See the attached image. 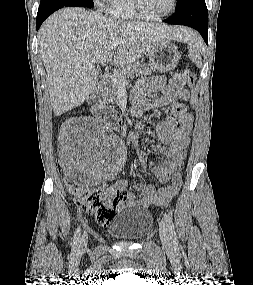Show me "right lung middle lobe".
Returning a JSON list of instances; mask_svg holds the SVG:
<instances>
[{"instance_id":"1","label":"right lung middle lobe","mask_w":253,"mask_h":285,"mask_svg":"<svg viewBox=\"0 0 253 285\" xmlns=\"http://www.w3.org/2000/svg\"><path fill=\"white\" fill-rule=\"evenodd\" d=\"M47 3H56L63 5H77L82 7H93L94 3L92 0H41L40 5Z\"/></svg>"}]
</instances>
